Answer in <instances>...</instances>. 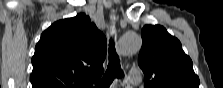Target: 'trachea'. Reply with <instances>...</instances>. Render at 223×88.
Masks as SVG:
<instances>
[{
	"label": "trachea",
	"instance_id": "trachea-1",
	"mask_svg": "<svg viewBox=\"0 0 223 88\" xmlns=\"http://www.w3.org/2000/svg\"><path fill=\"white\" fill-rule=\"evenodd\" d=\"M111 42L112 40H110V43ZM122 77H124V73L121 70L120 59L115 51L114 43L112 42L109 47V64L107 70L102 79L96 82V86L98 88H109L115 78Z\"/></svg>",
	"mask_w": 223,
	"mask_h": 88
}]
</instances>
